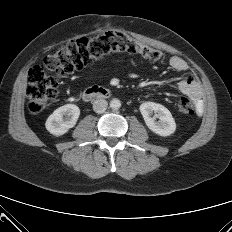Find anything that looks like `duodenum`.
Instances as JSON below:
<instances>
[{"label":"duodenum","mask_w":232,"mask_h":232,"mask_svg":"<svg viewBox=\"0 0 232 232\" xmlns=\"http://www.w3.org/2000/svg\"><path fill=\"white\" fill-rule=\"evenodd\" d=\"M110 95H111L110 89L95 86L86 89L82 94V98L85 101H91L94 99L108 98Z\"/></svg>","instance_id":"duodenum-1"}]
</instances>
